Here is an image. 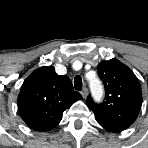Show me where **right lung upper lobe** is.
<instances>
[{
  "label": "right lung upper lobe",
  "instance_id": "cb5924a9",
  "mask_svg": "<svg viewBox=\"0 0 148 148\" xmlns=\"http://www.w3.org/2000/svg\"><path fill=\"white\" fill-rule=\"evenodd\" d=\"M81 98L68 76L58 75L53 66H43L24 81L18 95V108L29 128L48 131L56 127L63 112Z\"/></svg>",
  "mask_w": 148,
  "mask_h": 148
}]
</instances>
